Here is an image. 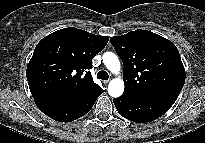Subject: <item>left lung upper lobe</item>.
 Instances as JSON below:
<instances>
[{
  "label": "left lung upper lobe",
  "instance_id": "obj_1",
  "mask_svg": "<svg viewBox=\"0 0 205 143\" xmlns=\"http://www.w3.org/2000/svg\"><path fill=\"white\" fill-rule=\"evenodd\" d=\"M124 64L123 95L143 98L168 92L180 93L185 69L176 46L147 30L110 38Z\"/></svg>",
  "mask_w": 205,
  "mask_h": 143
}]
</instances>
